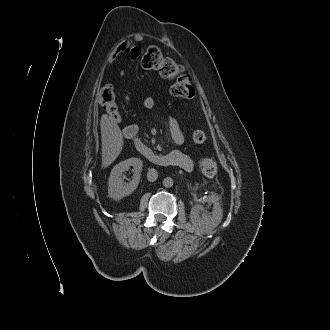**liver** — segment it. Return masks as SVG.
Returning a JSON list of instances; mask_svg holds the SVG:
<instances>
[{
    "label": "liver",
    "mask_w": 330,
    "mask_h": 330,
    "mask_svg": "<svg viewBox=\"0 0 330 330\" xmlns=\"http://www.w3.org/2000/svg\"><path fill=\"white\" fill-rule=\"evenodd\" d=\"M102 141V167L106 168L119 156L123 147V135L117 123L107 115L100 120Z\"/></svg>",
    "instance_id": "6515ba94"
}]
</instances>
